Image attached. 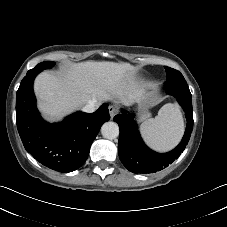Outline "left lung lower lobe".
Wrapping results in <instances>:
<instances>
[{
  "label": "left lung lower lobe",
  "instance_id": "1",
  "mask_svg": "<svg viewBox=\"0 0 227 227\" xmlns=\"http://www.w3.org/2000/svg\"><path fill=\"white\" fill-rule=\"evenodd\" d=\"M165 90L174 96L182 106L187 126L180 144L168 153H157L149 149L142 141L133 116L122 110L114 117L120 128L118 154L123 165L133 173H154L162 170L177 159L185 149L193 129L192 96L186 81H166Z\"/></svg>",
  "mask_w": 227,
  "mask_h": 227
}]
</instances>
